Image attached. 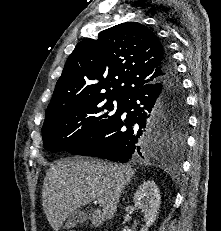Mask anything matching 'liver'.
<instances>
[{"mask_svg":"<svg viewBox=\"0 0 221 231\" xmlns=\"http://www.w3.org/2000/svg\"><path fill=\"white\" fill-rule=\"evenodd\" d=\"M134 174L129 165L93 159H65L51 165L42 188L43 211L51 227L58 231L72 212L94 199L103 203L91 213L92 226L103 225L114 216L122 190Z\"/></svg>","mask_w":221,"mask_h":231,"instance_id":"1","label":"liver"}]
</instances>
